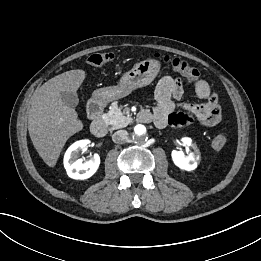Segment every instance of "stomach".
<instances>
[{
  "label": "stomach",
  "instance_id": "1",
  "mask_svg": "<svg viewBox=\"0 0 261 261\" xmlns=\"http://www.w3.org/2000/svg\"><path fill=\"white\" fill-rule=\"evenodd\" d=\"M160 63L155 59H147L136 64L123 74L117 86L97 89L93 93L94 100L108 103L129 95L132 91L149 85L157 76Z\"/></svg>",
  "mask_w": 261,
  "mask_h": 261
}]
</instances>
